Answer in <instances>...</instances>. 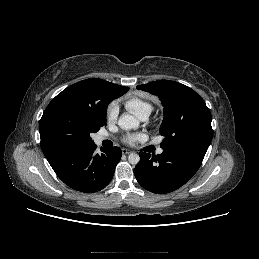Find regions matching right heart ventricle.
<instances>
[{
    "label": "right heart ventricle",
    "instance_id": "obj_1",
    "mask_svg": "<svg viewBox=\"0 0 259 259\" xmlns=\"http://www.w3.org/2000/svg\"><path fill=\"white\" fill-rule=\"evenodd\" d=\"M126 107L137 116L149 114L152 109V105L149 101L138 97L128 99L126 101Z\"/></svg>",
    "mask_w": 259,
    "mask_h": 259
}]
</instances>
